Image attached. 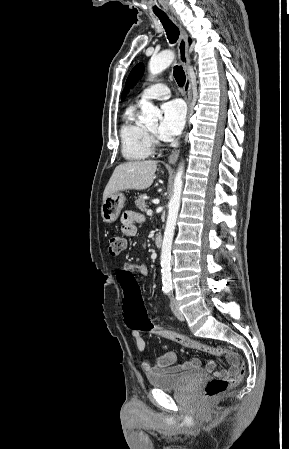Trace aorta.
Wrapping results in <instances>:
<instances>
[{
	"label": "aorta",
	"mask_w": 289,
	"mask_h": 449,
	"mask_svg": "<svg viewBox=\"0 0 289 449\" xmlns=\"http://www.w3.org/2000/svg\"><path fill=\"white\" fill-rule=\"evenodd\" d=\"M174 52L165 50L153 56L149 61V72L155 76L165 70L174 60ZM142 114L140 121L146 125L156 124L161 113L160 110L150 102L141 104ZM184 166L180 165L174 179L173 195L168 203V216L161 249V276L165 288L172 287L171 279V249L176 226V220L180 209L181 194L183 188Z\"/></svg>",
	"instance_id": "1"
}]
</instances>
